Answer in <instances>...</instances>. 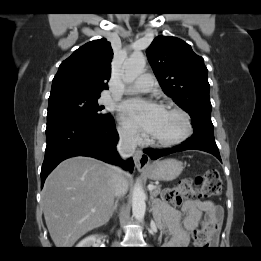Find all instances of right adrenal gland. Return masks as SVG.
Segmentation results:
<instances>
[{"label":"right adrenal gland","mask_w":261,"mask_h":261,"mask_svg":"<svg viewBox=\"0 0 261 261\" xmlns=\"http://www.w3.org/2000/svg\"><path fill=\"white\" fill-rule=\"evenodd\" d=\"M117 208H118V200L115 201L114 203V206L112 208V211H111V217L114 215L115 212H117Z\"/></svg>","instance_id":"2a0ac1e0"}]
</instances>
